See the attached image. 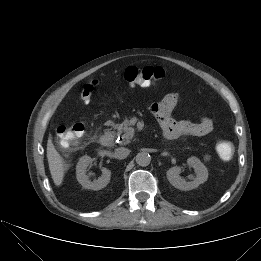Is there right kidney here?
<instances>
[{"label": "right kidney", "instance_id": "obj_1", "mask_svg": "<svg viewBox=\"0 0 261 261\" xmlns=\"http://www.w3.org/2000/svg\"><path fill=\"white\" fill-rule=\"evenodd\" d=\"M92 163L89 156H83L79 159L76 166V176L78 182L86 189L101 190L106 187L110 181L111 171L107 168H102V175L97 180H89L86 175L88 166Z\"/></svg>", "mask_w": 261, "mask_h": 261}]
</instances>
